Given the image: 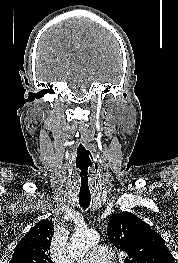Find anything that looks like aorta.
Here are the masks:
<instances>
[{
  "label": "aorta",
  "instance_id": "762f6f07",
  "mask_svg": "<svg viewBox=\"0 0 178 263\" xmlns=\"http://www.w3.org/2000/svg\"><path fill=\"white\" fill-rule=\"evenodd\" d=\"M100 240L99 234L94 230H76L69 242V254L71 258L78 260Z\"/></svg>",
  "mask_w": 178,
  "mask_h": 263
}]
</instances>
